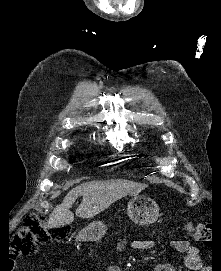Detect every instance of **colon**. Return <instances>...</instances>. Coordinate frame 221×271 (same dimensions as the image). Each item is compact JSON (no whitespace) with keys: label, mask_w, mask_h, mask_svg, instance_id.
I'll use <instances>...</instances> for the list:
<instances>
[{"label":"colon","mask_w":221,"mask_h":271,"mask_svg":"<svg viewBox=\"0 0 221 271\" xmlns=\"http://www.w3.org/2000/svg\"><path fill=\"white\" fill-rule=\"evenodd\" d=\"M45 223L42 213L33 211L27 214L11 238V255L15 258L29 256L39 244L59 240L68 233L65 226H48ZM191 229L192 236L198 243L209 244L212 241L211 230L205 223H196Z\"/></svg>","instance_id":"obj_1"}]
</instances>
